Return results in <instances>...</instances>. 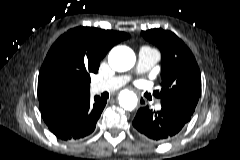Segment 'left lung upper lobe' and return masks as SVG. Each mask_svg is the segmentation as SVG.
<instances>
[{
  "instance_id": "left-lung-upper-lobe-1",
  "label": "left lung upper lobe",
  "mask_w": 240,
  "mask_h": 160,
  "mask_svg": "<svg viewBox=\"0 0 240 160\" xmlns=\"http://www.w3.org/2000/svg\"><path fill=\"white\" fill-rule=\"evenodd\" d=\"M141 34L162 54L161 90L154 95L161 104L192 115L201 96V74L191 50L171 31L155 28Z\"/></svg>"
}]
</instances>
